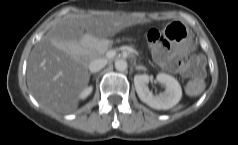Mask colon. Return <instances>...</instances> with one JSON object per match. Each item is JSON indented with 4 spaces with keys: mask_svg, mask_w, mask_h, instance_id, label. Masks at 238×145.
Returning a JSON list of instances; mask_svg holds the SVG:
<instances>
[{
    "mask_svg": "<svg viewBox=\"0 0 238 145\" xmlns=\"http://www.w3.org/2000/svg\"><path fill=\"white\" fill-rule=\"evenodd\" d=\"M152 46L154 58L158 63L170 71L181 72L192 79L187 85V91L198 94L203 88V78L205 76V62L199 56H176L169 53V42L155 29H151L147 34Z\"/></svg>",
    "mask_w": 238,
    "mask_h": 145,
    "instance_id": "colon-1",
    "label": "colon"
}]
</instances>
